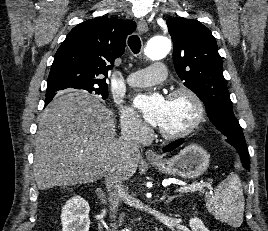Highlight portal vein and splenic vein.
<instances>
[{
	"label": "portal vein and splenic vein",
	"mask_w": 268,
	"mask_h": 231,
	"mask_svg": "<svg viewBox=\"0 0 268 231\" xmlns=\"http://www.w3.org/2000/svg\"><path fill=\"white\" fill-rule=\"evenodd\" d=\"M204 187H205L204 184L196 183V184L180 187L179 189H177V192L183 193V192H189V191H195V190L203 191Z\"/></svg>",
	"instance_id": "portal-vein-and-splenic-vein-1"
}]
</instances>
